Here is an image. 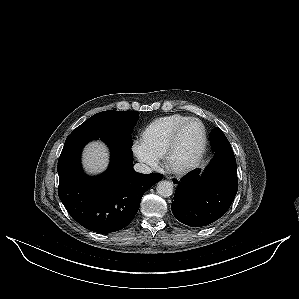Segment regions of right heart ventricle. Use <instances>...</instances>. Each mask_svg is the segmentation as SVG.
Listing matches in <instances>:
<instances>
[{
	"label": "right heart ventricle",
	"instance_id": "1",
	"mask_svg": "<svg viewBox=\"0 0 299 299\" xmlns=\"http://www.w3.org/2000/svg\"><path fill=\"white\" fill-rule=\"evenodd\" d=\"M188 118L185 115L172 114L152 121L142 133L144 145L156 156H163L171 135Z\"/></svg>",
	"mask_w": 299,
	"mask_h": 299
}]
</instances>
